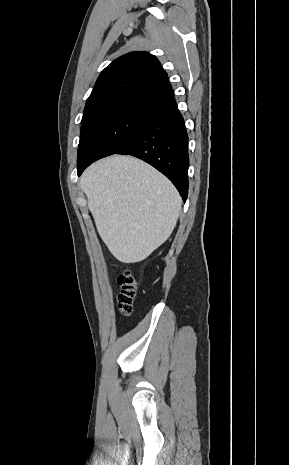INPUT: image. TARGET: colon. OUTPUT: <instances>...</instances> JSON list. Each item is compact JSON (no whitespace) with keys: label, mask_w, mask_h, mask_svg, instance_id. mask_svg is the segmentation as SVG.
Instances as JSON below:
<instances>
[{"label":"colon","mask_w":289,"mask_h":465,"mask_svg":"<svg viewBox=\"0 0 289 465\" xmlns=\"http://www.w3.org/2000/svg\"><path fill=\"white\" fill-rule=\"evenodd\" d=\"M120 293L118 295V310L124 315H130L138 286L130 271H124L118 277Z\"/></svg>","instance_id":"colon-1"}]
</instances>
